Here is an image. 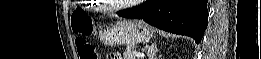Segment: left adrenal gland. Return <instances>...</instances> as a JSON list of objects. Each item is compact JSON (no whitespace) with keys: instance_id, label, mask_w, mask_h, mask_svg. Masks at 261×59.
Masks as SVG:
<instances>
[{"instance_id":"left-adrenal-gland-1","label":"left adrenal gland","mask_w":261,"mask_h":59,"mask_svg":"<svg viewBox=\"0 0 261 59\" xmlns=\"http://www.w3.org/2000/svg\"><path fill=\"white\" fill-rule=\"evenodd\" d=\"M158 52V48L156 46V43L152 44L147 51V56L149 59H154V56Z\"/></svg>"}]
</instances>
